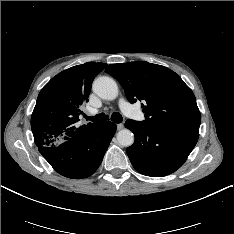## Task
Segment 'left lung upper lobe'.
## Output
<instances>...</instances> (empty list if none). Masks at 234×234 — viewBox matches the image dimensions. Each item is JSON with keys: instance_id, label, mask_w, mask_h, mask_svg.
<instances>
[{"instance_id": "left-lung-upper-lobe-1", "label": "left lung upper lobe", "mask_w": 234, "mask_h": 234, "mask_svg": "<svg viewBox=\"0 0 234 234\" xmlns=\"http://www.w3.org/2000/svg\"><path fill=\"white\" fill-rule=\"evenodd\" d=\"M119 81L130 103L141 105L149 125L200 126L201 115L191 89L172 70L145 61L111 64L106 70Z\"/></svg>"}]
</instances>
